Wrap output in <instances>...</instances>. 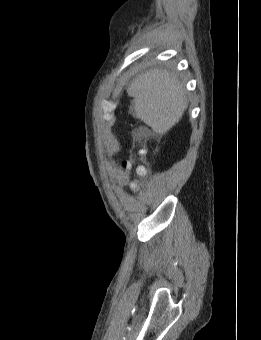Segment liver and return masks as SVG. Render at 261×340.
<instances>
[{"mask_svg":"<svg viewBox=\"0 0 261 340\" xmlns=\"http://www.w3.org/2000/svg\"><path fill=\"white\" fill-rule=\"evenodd\" d=\"M128 94L134 98V117L160 135L175 126L188 107L183 84L167 70L141 73L131 82Z\"/></svg>","mask_w":261,"mask_h":340,"instance_id":"obj_1","label":"liver"}]
</instances>
